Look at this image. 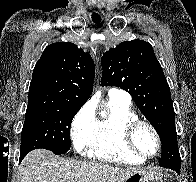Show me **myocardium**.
Instances as JSON below:
<instances>
[{"mask_svg":"<svg viewBox=\"0 0 196 182\" xmlns=\"http://www.w3.org/2000/svg\"><path fill=\"white\" fill-rule=\"evenodd\" d=\"M141 127H147L153 133L156 139L157 149L152 155L144 154L135 144V135ZM123 141L128 151L144 160L156 157L160 153L162 147L161 137L155 126L152 123L141 119L133 120L125 126L123 131Z\"/></svg>","mask_w":196,"mask_h":182,"instance_id":"obj_1","label":"myocardium"}]
</instances>
